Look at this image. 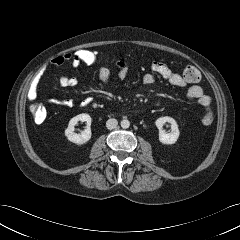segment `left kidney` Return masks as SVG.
I'll list each match as a JSON object with an SVG mask.
<instances>
[{
  "mask_svg": "<svg viewBox=\"0 0 240 240\" xmlns=\"http://www.w3.org/2000/svg\"><path fill=\"white\" fill-rule=\"evenodd\" d=\"M169 123L171 126V131L169 133L163 130V125ZM155 125L159 130V141L162 144L172 145L176 143L179 138L180 132L176 120L172 117L165 116L160 117L155 121Z\"/></svg>",
  "mask_w": 240,
  "mask_h": 240,
  "instance_id": "1",
  "label": "left kidney"
}]
</instances>
